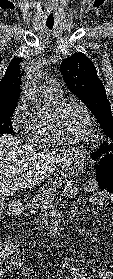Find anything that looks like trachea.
<instances>
[{"label": "trachea", "mask_w": 113, "mask_h": 279, "mask_svg": "<svg viewBox=\"0 0 113 279\" xmlns=\"http://www.w3.org/2000/svg\"><path fill=\"white\" fill-rule=\"evenodd\" d=\"M47 27H48L49 29H52V28H53V26H51V25H47Z\"/></svg>", "instance_id": "3493384b"}]
</instances>
